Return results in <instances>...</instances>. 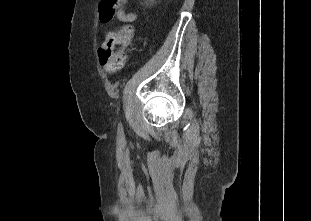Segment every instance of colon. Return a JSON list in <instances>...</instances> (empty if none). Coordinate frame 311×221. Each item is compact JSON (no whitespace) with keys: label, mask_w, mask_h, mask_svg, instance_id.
I'll return each mask as SVG.
<instances>
[{"label":"colon","mask_w":311,"mask_h":221,"mask_svg":"<svg viewBox=\"0 0 311 221\" xmlns=\"http://www.w3.org/2000/svg\"><path fill=\"white\" fill-rule=\"evenodd\" d=\"M126 2L127 0L101 1V10H99L97 21L109 22V17H120L121 7L116 4H126ZM133 30V26L127 24L118 30L106 32L103 44L99 48V56L109 75L123 67L124 52L132 40Z\"/></svg>","instance_id":"colon-1"}]
</instances>
